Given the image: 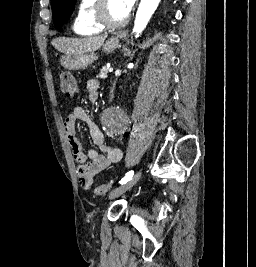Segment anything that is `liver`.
Here are the masks:
<instances>
[{
	"label": "liver",
	"instance_id": "obj_1",
	"mask_svg": "<svg viewBox=\"0 0 256 267\" xmlns=\"http://www.w3.org/2000/svg\"><path fill=\"white\" fill-rule=\"evenodd\" d=\"M107 36H88V38H55L51 44L63 54L78 56V54H88L96 52L103 46Z\"/></svg>",
	"mask_w": 256,
	"mask_h": 267
}]
</instances>
